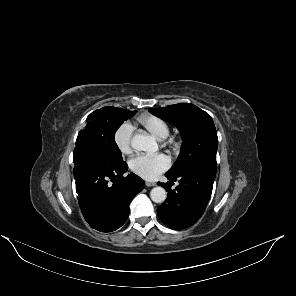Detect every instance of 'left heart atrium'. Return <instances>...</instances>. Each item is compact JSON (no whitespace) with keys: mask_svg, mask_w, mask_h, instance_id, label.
<instances>
[{"mask_svg":"<svg viewBox=\"0 0 296 296\" xmlns=\"http://www.w3.org/2000/svg\"><path fill=\"white\" fill-rule=\"evenodd\" d=\"M170 166V160L165 154H141L130 161V169L146 180L156 179Z\"/></svg>","mask_w":296,"mask_h":296,"instance_id":"obj_1","label":"left heart atrium"}]
</instances>
